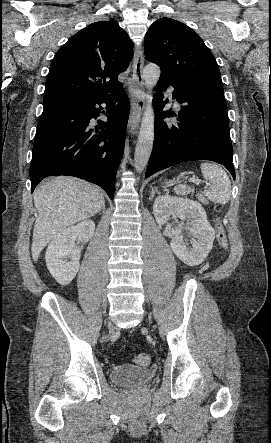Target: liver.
<instances>
[{"label": "liver", "mask_w": 271, "mask_h": 443, "mask_svg": "<svg viewBox=\"0 0 271 443\" xmlns=\"http://www.w3.org/2000/svg\"><path fill=\"white\" fill-rule=\"evenodd\" d=\"M33 200L38 210L31 245L33 261H38L42 249L68 225L88 220L105 206L101 190L70 176L42 182L36 188Z\"/></svg>", "instance_id": "liver-1"}]
</instances>
